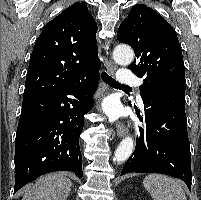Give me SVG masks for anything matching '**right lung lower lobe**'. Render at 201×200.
<instances>
[{"mask_svg":"<svg viewBox=\"0 0 201 200\" xmlns=\"http://www.w3.org/2000/svg\"><path fill=\"white\" fill-rule=\"evenodd\" d=\"M97 81L98 72L90 73L68 89L23 100L15 140L14 193L53 171L67 170L78 178L83 176L79 136Z\"/></svg>","mask_w":201,"mask_h":200,"instance_id":"98d812e1","label":"right lung lower lobe"}]
</instances>
